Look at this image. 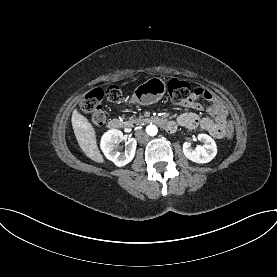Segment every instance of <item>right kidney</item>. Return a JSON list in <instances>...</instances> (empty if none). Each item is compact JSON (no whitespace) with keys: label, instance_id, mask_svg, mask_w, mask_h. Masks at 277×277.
I'll return each instance as SVG.
<instances>
[{"label":"right kidney","instance_id":"obj_1","mask_svg":"<svg viewBox=\"0 0 277 277\" xmlns=\"http://www.w3.org/2000/svg\"><path fill=\"white\" fill-rule=\"evenodd\" d=\"M123 139L122 131L116 129L107 131L101 138V149L105 157L118 167L125 166L133 160L137 146V141L134 138H129L125 142V151L120 152L118 143Z\"/></svg>","mask_w":277,"mask_h":277}]
</instances>
